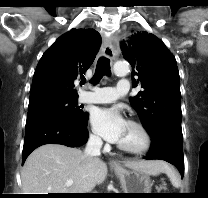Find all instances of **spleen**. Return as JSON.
I'll use <instances>...</instances> for the list:
<instances>
[{
  "label": "spleen",
  "mask_w": 208,
  "mask_h": 198,
  "mask_svg": "<svg viewBox=\"0 0 208 198\" xmlns=\"http://www.w3.org/2000/svg\"><path fill=\"white\" fill-rule=\"evenodd\" d=\"M164 171L170 179L172 185L176 188H179L181 185V181L177 172L167 164L164 165Z\"/></svg>",
  "instance_id": "spleen-1"
}]
</instances>
